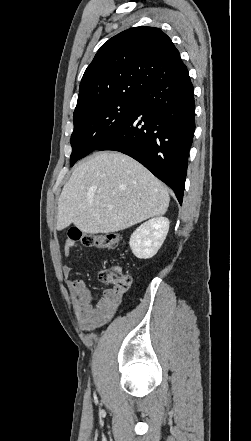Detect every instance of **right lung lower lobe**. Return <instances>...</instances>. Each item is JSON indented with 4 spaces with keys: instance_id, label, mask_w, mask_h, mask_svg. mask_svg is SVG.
I'll use <instances>...</instances> for the list:
<instances>
[{
    "instance_id": "right-lung-lower-lobe-1",
    "label": "right lung lower lobe",
    "mask_w": 251,
    "mask_h": 441,
    "mask_svg": "<svg viewBox=\"0 0 251 441\" xmlns=\"http://www.w3.org/2000/svg\"><path fill=\"white\" fill-rule=\"evenodd\" d=\"M194 115V88L185 67L143 92L136 109L96 150L119 151L139 161L182 204Z\"/></svg>"
}]
</instances>
